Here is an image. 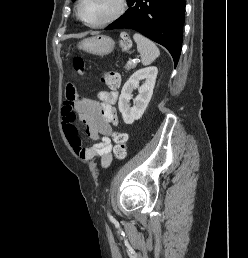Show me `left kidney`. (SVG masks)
<instances>
[{
	"label": "left kidney",
	"mask_w": 248,
	"mask_h": 258,
	"mask_svg": "<svg viewBox=\"0 0 248 258\" xmlns=\"http://www.w3.org/2000/svg\"><path fill=\"white\" fill-rule=\"evenodd\" d=\"M157 73L158 69L155 66L142 68L134 72L124 84L118 107L125 124H132L144 114L153 94ZM141 80H145V82L139 86ZM134 89H138L139 94L134 100V106L130 107L129 101Z\"/></svg>",
	"instance_id": "5707ae66"
}]
</instances>
